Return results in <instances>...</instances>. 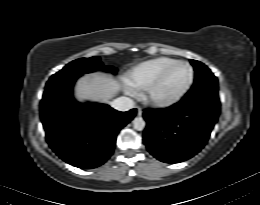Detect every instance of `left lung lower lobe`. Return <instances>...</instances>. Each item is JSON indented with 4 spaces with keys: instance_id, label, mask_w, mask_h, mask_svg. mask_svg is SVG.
I'll use <instances>...</instances> for the list:
<instances>
[{
    "instance_id": "obj_1",
    "label": "left lung lower lobe",
    "mask_w": 260,
    "mask_h": 205,
    "mask_svg": "<svg viewBox=\"0 0 260 205\" xmlns=\"http://www.w3.org/2000/svg\"><path fill=\"white\" fill-rule=\"evenodd\" d=\"M219 106L205 99L183 98L164 109H147L144 143L165 163H179L197 154L206 144L219 115Z\"/></svg>"
}]
</instances>
